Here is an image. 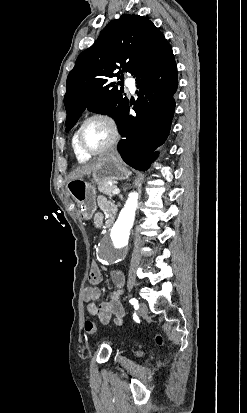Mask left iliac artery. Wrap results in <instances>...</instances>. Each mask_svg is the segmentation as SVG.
<instances>
[{"mask_svg":"<svg viewBox=\"0 0 247 413\" xmlns=\"http://www.w3.org/2000/svg\"><path fill=\"white\" fill-rule=\"evenodd\" d=\"M132 305L137 306L138 305V301L135 298L130 299L129 301Z\"/></svg>","mask_w":247,"mask_h":413,"instance_id":"obj_1","label":"left iliac artery"}]
</instances>
